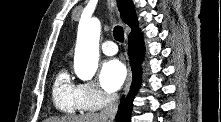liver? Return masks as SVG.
<instances>
[{"label":"liver","instance_id":"liver-1","mask_svg":"<svg viewBox=\"0 0 221 122\" xmlns=\"http://www.w3.org/2000/svg\"><path fill=\"white\" fill-rule=\"evenodd\" d=\"M98 113H89L79 117L48 118L44 122H108Z\"/></svg>","mask_w":221,"mask_h":122}]
</instances>
